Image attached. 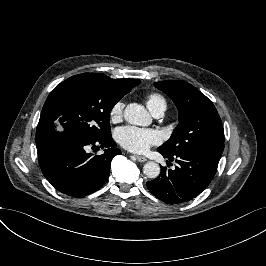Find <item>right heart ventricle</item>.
Listing matches in <instances>:
<instances>
[{
    "label": "right heart ventricle",
    "instance_id": "e07e8e85",
    "mask_svg": "<svg viewBox=\"0 0 266 266\" xmlns=\"http://www.w3.org/2000/svg\"><path fill=\"white\" fill-rule=\"evenodd\" d=\"M145 101L149 109L153 112L165 111L167 108V100L157 92H151L145 96Z\"/></svg>",
    "mask_w": 266,
    "mask_h": 266
}]
</instances>
